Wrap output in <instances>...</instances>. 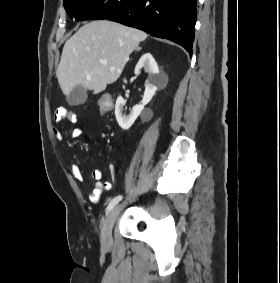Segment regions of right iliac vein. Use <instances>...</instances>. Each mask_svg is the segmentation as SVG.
<instances>
[{"mask_svg": "<svg viewBox=\"0 0 280 283\" xmlns=\"http://www.w3.org/2000/svg\"><path fill=\"white\" fill-rule=\"evenodd\" d=\"M123 207H124V204L115 206L110 211V213L108 214V216L106 217L104 221L102 232H101V243H102V246L105 248H109L112 245V228L118 216L120 215Z\"/></svg>", "mask_w": 280, "mask_h": 283, "instance_id": "1", "label": "right iliac vein"}]
</instances>
